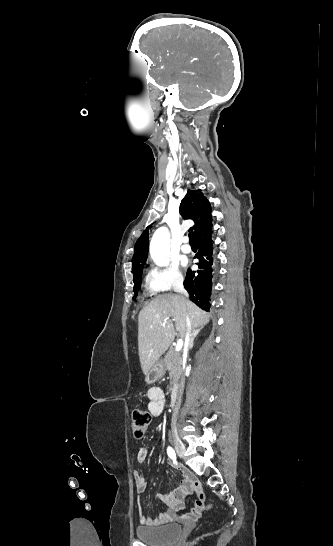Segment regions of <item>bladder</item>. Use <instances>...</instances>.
I'll use <instances>...</instances> for the list:
<instances>
[{"label": "bladder", "instance_id": "obj_1", "mask_svg": "<svg viewBox=\"0 0 333 546\" xmlns=\"http://www.w3.org/2000/svg\"><path fill=\"white\" fill-rule=\"evenodd\" d=\"M182 533L178 523H168L161 526H142L136 529L137 538L149 546H170Z\"/></svg>", "mask_w": 333, "mask_h": 546}]
</instances>
